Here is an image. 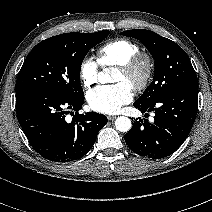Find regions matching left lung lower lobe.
Returning <instances> with one entry per match:
<instances>
[{"label":"left lung lower lobe","instance_id":"left-lung-lower-lobe-1","mask_svg":"<svg viewBox=\"0 0 212 212\" xmlns=\"http://www.w3.org/2000/svg\"><path fill=\"white\" fill-rule=\"evenodd\" d=\"M142 113L154 111V122L135 120L125 135L129 148L140 156L161 159L185 141L198 107V84L177 88L149 104H133Z\"/></svg>","mask_w":212,"mask_h":212}]
</instances>
